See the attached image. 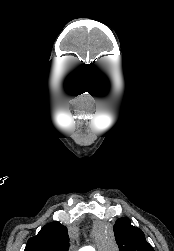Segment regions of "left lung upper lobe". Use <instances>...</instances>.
Returning a JSON list of instances; mask_svg holds the SVG:
<instances>
[{
  "label": "left lung upper lobe",
  "mask_w": 174,
  "mask_h": 251,
  "mask_svg": "<svg viewBox=\"0 0 174 251\" xmlns=\"http://www.w3.org/2000/svg\"><path fill=\"white\" fill-rule=\"evenodd\" d=\"M114 233L119 251H154L146 241L143 231L131 225L126 217L117 219Z\"/></svg>",
  "instance_id": "obj_1"
}]
</instances>
